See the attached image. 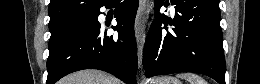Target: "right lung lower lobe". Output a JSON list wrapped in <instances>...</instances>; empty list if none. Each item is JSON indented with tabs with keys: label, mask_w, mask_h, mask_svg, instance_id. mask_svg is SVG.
<instances>
[{
	"label": "right lung lower lobe",
	"mask_w": 260,
	"mask_h": 84,
	"mask_svg": "<svg viewBox=\"0 0 260 84\" xmlns=\"http://www.w3.org/2000/svg\"><path fill=\"white\" fill-rule=\"evenodd\" d=\"M117 4L115 17L118 38L106 36V30L97 23L78 30L52 49L47 60V84H54L65 75L82 69H99L115 75L127 84H136L137 46L134 19L138 0H110L103 6Z\"/></svg>",
	"instance_id": "1"
}]
</instances>
